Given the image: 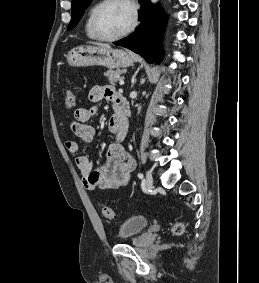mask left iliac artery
<instances>
[{
  "instance_id": "44dca946",
  "label": "left iliac artery",
  "mask_w": 259,
  "mask_h": 283,
  "mask_svg": "<svg viewBox=\"0 0 259 283\" xmlns=\"http://www.w3.org/2000/svg\"><path fill=\"white\" fill-rule=\"evenodd\" d=\"M138 177H139L140 179H142V178H143V174H142V173H139V174H138Z\"/></svg>"
}]
</instances>
